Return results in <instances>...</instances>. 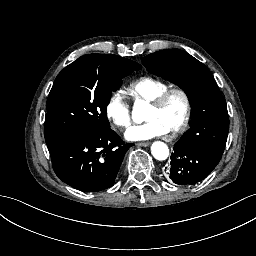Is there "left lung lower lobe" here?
<instances>
[{
	"instance_id": "obj_1",
	"label": "left lung lower lobe",
	"mask_w": 256,
	"mask_h": 256,
	"mask_svg": "<svg viewBox=\"0 0 256 256\" xmlns=\"http://www.w3.org/2000/svg\"><path fill=\"white\" fill-rule=\"evenodd\" d=\"M208 175H180L171 173L170 178L176 184H195L203 179H205Z\"/></svg>"
}]
</instances>
